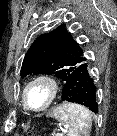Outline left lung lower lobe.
Instances as JSON below:
<instances>
[{"mask_svg": "<svg viewBox=\"0 0 117 136\" xmlns=\"http://www.w3.org/2000/svg\"><path fill=\"white\" fill-rule=\"evenodd\" d=\"M96 86L86 60L82 61L70 74L63 88L62 100L86 106L98 112Z\"/></svg>", "mask_w": 117, "mask_h": 136, "instance_id": "1", "label": "left lung lower lobe"}]
</instances>
